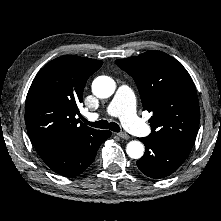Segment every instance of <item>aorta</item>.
Segmentation results:
<instances>
[{
	"instance_id": "aorta-1",
	"label": "aorta",
	"mask_w": 221,
	"mask_h": 221,
	"mask_svg": "<svg viewBox=\"0 0 221 221\" xmlns=\"http://www.w3.org/2000/svg\"><path fill=\"white\" fill-rule=\"evenodd\" d=\"M115 88L114 80L108 76H99L92 83V92L98 98L110 97ZM126 152L129 157L139 159L144 154V146L139 141H131L127 144Z\"/></svg>"
}]
</instances>
